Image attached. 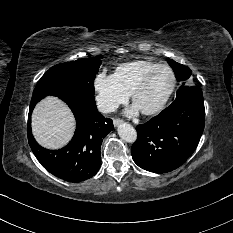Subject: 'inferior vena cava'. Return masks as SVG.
<instances>
[{
    "label": "inferior vena cava",
    "mask_w": 233,
    "mask_h": 233,
    "mask_svg": "<svg viewBox=\"0 0 233 233\" xmlns=\"http://www.w3.org/2000/svg\"><path fill=\"white\" fill-rule=\"evenodd\" d=\"M98 110L102 113L114 112L118 108V104L106 100H99L97 102Z\"/></svg>",
    "instance_id": "602c4592"
}]
</instances>
